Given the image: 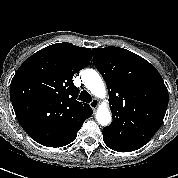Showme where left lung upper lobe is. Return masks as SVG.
I'll return each instance as SVG.
<instances>
[{
	"label": "left lung upper lobe",
	"instance_id": "5c2ea615",
	"mask_svg": "<svg viewBox=\"0 0 178 178\" xmlns=\"http://www.w3.org/2000/svg\"><path fill=\"white\" fill-rule=\"evenodd\" d=\"M93 62L107 84L113 115L103 134L123 145L143 147L160 128L168 106L160 73L142 57L114 46L94 48Z\"/></svg>",
	"mask_w": 178,
	"mask_h": 178
}]
</instances>
